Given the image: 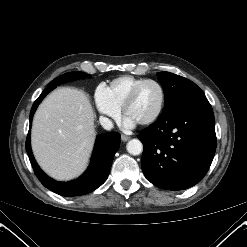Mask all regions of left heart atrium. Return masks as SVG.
I'll use <instances>...</instances> for the list:
<instances>
[{
	"mask_svg": "<svg viewBox=\"0 0 247 247\" xmlns=\"http://www.w3.org/2000/svg\"><path fill=\"white\" fill-rule=\"evenodd\" d=\"M137 124L132 118L126 116L124 119V126L128 129L133 128Z\"/></svg>",
	"mask_w": 247,
	"mask_h": 247,
	"instance_id": "1",
	"label": "left heart atrium"
}]
</instances>
